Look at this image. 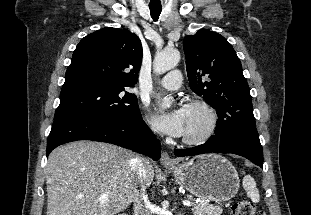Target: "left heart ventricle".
Listing matches in <instances>:
<instances>
[{
	"label": "left heart ventricle",
	"instance_id": "obj_1",
	"mask_svg": "<svg viewBox=\"0 0 311 215\" xmlns=\"http://www.w3.org/2000/svg\"><path fill=\"white\" fill-rule=\"evenodd\" d=\"M187 124L184 137H194L201 134L207 125L206 114L199 109L185 108Z\"/></svg>",
	"mask_w": 311,
	"mask_h": 215
}]
</instances>
